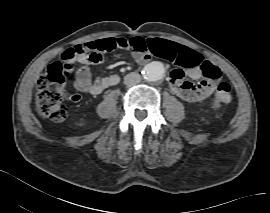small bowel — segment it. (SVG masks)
<instances>
[{
    "label": "small bowel",
    "mask_w": 270,
    "mask_h": 213,
    "mask_svg": "<svg viewBox=\"0 0 270 213\" xmlns=\"http://www.w3.org/2000/svg\"><path fill=\"white\" fill-rule=\"evenodd\" d=\"M115 41V38H105L84 41L75 46L82 49V53L77 59L80 67L76 71L74 81V87L79 92H89L92 95H98L108 87L119 82V77L116 74L97 77L88 69L89 65L102 63L105 60L106 54L115 50ZM146 54L171 61L175 64V67L169 73L170 88L173 93L183 100L198 102L211 94L213 87L210 82L201 80L194 83L185 80L186 76L191 80H200L203 77L201 71V64L203 62L199 53L176 42L157 38L149 51L134 55L135 61L141 64L144 58H146ZM75 96L77 99L74 101L80 100L79 95Z\"/></svg>",
    "instance_id": "1"
}]
</instances>
